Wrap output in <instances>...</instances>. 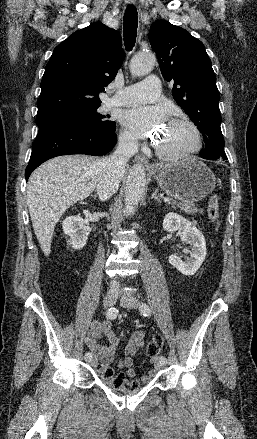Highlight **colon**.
<instances>
[{
	"mask_svg": "<svg viewBox=\"0 0 257 439\" xmlns=\"http://www.w3.org/2000/svg\"><path fill=\"white\" fill-rule=\"evenodd\" d=\"M219 216V199L216 195L209 198L207 217L212 224L217 223ZM164 345V339L161 334H155L147 345V354L155 357ZM100 376L114 389L133 392L138 388L135 380H130L124 373H115L111 367L97 368Z\"/></svg>",
	"mask_w": 257,
	"mask_h": 439,
	"instance_id": "colon-1",
	"label": "colon"
}]
</instances>
